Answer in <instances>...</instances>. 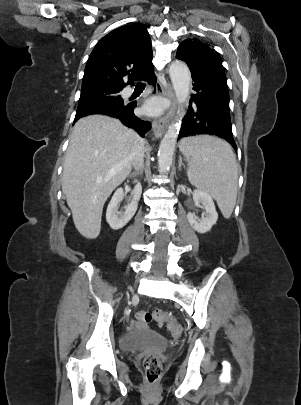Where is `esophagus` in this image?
<instances>
[{"instance_id": "obj_1", "label": "esophagus", "mask_w": 301, "mask_h": 405, "mask_svg": "<svg viewBox=\"0 0 301 405\" xmlns=\"http://www.w3.org/2000/svg\"><path fill=\"white\" fill-rule=\"evenodd\" d=\"M156 91L159 96L167 98L171 103L165 115L157 120H154L152 124L154 135L159 138L164 134L170 120H172L175 115V95L174 89L170 83H168L165 87H157Z\"/></svg>"}]
</instances>
